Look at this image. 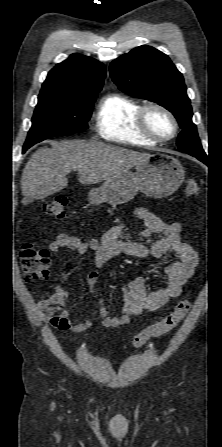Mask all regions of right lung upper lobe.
<instances>
[{
    "label": "right lung upper lobe",
    "instance_id": "cb5924a9",
    "mask_svg": "<svg viewBox=\"0 0 222 447\" xmlns=\"http://www.w3.org/2000/svg\"><path fill=\"white\" fill-rule=\"evenodd\" d=\"M106 67L99 61L72 54L47 75L41 90H57L70 95L97 94L102 89Z\"/></svg>",
    "mask_w": 222,
    "mask_h": 447
}]
</instances>
